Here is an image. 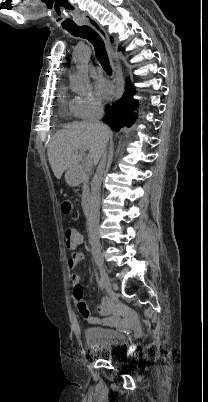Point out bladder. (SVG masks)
<instances>
[{
	"instance_id": "1",
	"label": "bladder",
	"mask_w": 208,
	"mask_h": 402,
	"mask_svg": "<svg viewBox=\"0 0 208 402\" xmlns=\"http://www.w3.org/2000/svg\"><path fill=\"white\" fill-rule=\"evenodd\" d=\"M84 338L90 352L108 350L115 353V355L120 351L124 342V336L118 334L115 330L102 327H85ZM108 356L112 355L108 354Z\"/></svg>"
}]
</instances>
